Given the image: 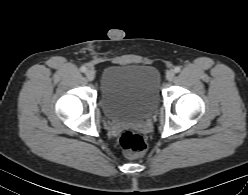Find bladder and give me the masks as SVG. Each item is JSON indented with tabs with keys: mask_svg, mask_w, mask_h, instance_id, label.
<instances>
[{
	"mask_svg": "<svg viewBox=\"0 0 248 195\" xmlns=\"http://www.w3.org/2000/svg\"><path fill=\"white\" fill-rule=\"evenodd\" d=\"M160 93V73L152 65H113L100 76V104L111 121L144 120L158 106Z\"/></svg>",
	"mask_w": 248,
	"mask_h": 195,
	"instance_id": "bladder-1",
	"label": "bladder"
}]
</instances>
